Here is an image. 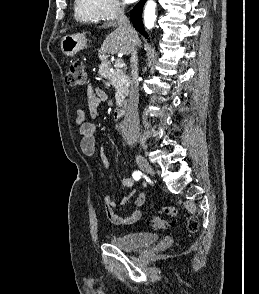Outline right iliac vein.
Wrapping results in <instances>:
<instances>
[{
    "mask_svg": "<svg viewBox=\"0 0 259 294\" xmlns=\"http://www.w3.org/2000/svg\"><path fill=\"white\" fill-rule=\"evenodd\" d=\"M136 163L137 165L139 166V168L148 173V174H151V175H154V170L153 168L151 167V165L147 162V160L140 154H136Z\"/></svg>",
    "mask_w": 259,
    "mask_h": 294,
    "instance_id": "obj_1",
    "label": "right iliac vein"
}]
</instances>
